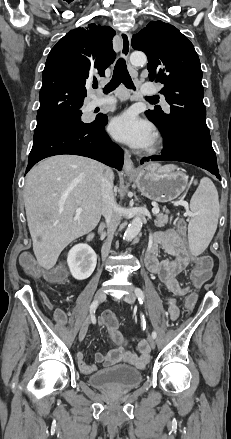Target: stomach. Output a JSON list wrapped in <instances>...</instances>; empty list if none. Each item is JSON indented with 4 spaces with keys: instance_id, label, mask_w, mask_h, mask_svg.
<instances>
[{
    "instance_id": "obj_1",
    "label": "stomach",
    "mask_w": 231,
    "mask_h": 439,
    "mask_svg": "<svg viewBox=\"0 0 231 439\" xmlns=\"http://www.w3.org/2000/svg\"><path fill=\"white\" fill-rule=\"evenodd\" d=\"M127 174L143 196L162 203L177 199L188 183V177L183 172L164 171L157 164H148Z\"/></svg>"
}]
</instances>
